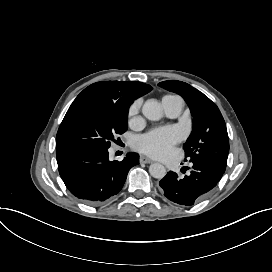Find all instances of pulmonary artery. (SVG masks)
Here are the masks:
<instances>
[{"label": "pulmonary artery", "instance_id": "e3ab8cb5", "mask_svg": "<svg viewBox=\"0 0 272 272\" xmlns=\"http://www.w3.org/2000/svg\"><path fill=\"white\" fill-rule=\"evenodd\" d=\"M165 106L167 115L171 118L178 117L183 110V100L179 96H166L162 100Z\"/></svg>", "mask_w": 272, "mask_h": 272}]
</instances>
